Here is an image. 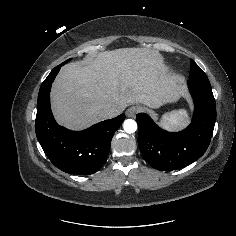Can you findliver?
Here are the masks:
<instances>
[{
	"label": "liver",
	"mask_w": 236,
	"mask_h": 236,
	"mask_svg": "<svg viewBox=\"0 0 236 236\" xmlns=\"http://www.w3.org/2000/svg\"><path fill=\"white\" fill-rule=\"evenodd\" d=\"M179 96L162 57L145 48H121L65 65L51 91L57 122L81 130L104 113L133 103L158 107Z\"/></svg>",
	"instance_id": "1"
}]
</instances>
